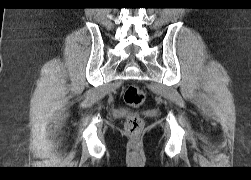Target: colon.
<instances>
[{
    "label": "colon",
    "instance_id": "1",
    "mask_svg": "<svg viewBox=\"0 0 251 180\" xmlns=\"http://www.w3.org/2000/svg\"><path fill=\"white\" fill-rule=\"evenodd\" d=\"M124 101L132 108H138L145 99L144 91L136 85L126 87L123 95ZM143 128V120L137 113H131L125 122L126 132L131 136L138 135Z\"/></svg>",
    "mask_w": 251,
    "mask_h": 180
}]
</instances>
